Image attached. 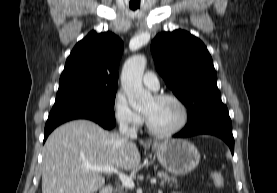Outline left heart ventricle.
<instances>
[{
	"mask_svg": "<svg viewBox=\"0 0 277 193\" xmlns=\"http://www.w3.org/2000/svg\"><path fill=\"white\" fill-rule=\"evenodd\" d=\"M151 124L159 130L175 128L182 119L180 107L172 100L151 98L142 108Z\"/></svg>",
	"mask_w": 277,
	"mask_h": 193,
	"instance_id": "1",
	"label": "left heart ventricle"
}]
</instances>
